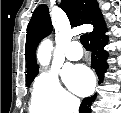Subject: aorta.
<instances>
[{
    "label": "aorta",
    "mask_w": 121,
    "mask_h": 113,
    "mask_svg": "<svg viewBox=\"0 0 121 113\" xmlns=\"http://www.w3.org/2000/svg\"><path fill=\"white\" fill-rule=\"evenodd\" d=\"M51 50H52V42L50 40L46 39L40 44L37 52V58L42 66H47L49 64L51 57Z\"/></svg>",
    "instance_id": "obj_1"
}]
</instances>
